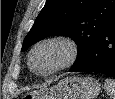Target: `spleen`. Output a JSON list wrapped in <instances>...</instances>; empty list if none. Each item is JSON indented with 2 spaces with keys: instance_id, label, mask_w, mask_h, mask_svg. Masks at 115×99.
<instances>
[{
  "instance_id": "obj_1",
  "label": "spleen",
  "mask_w": 115,
  "mask_h": 99,
  "mask_svg": "<svg viewBox=\"0 0 115 99\" xmlns=\"http://www.w3.org/2000/svg\"><path fill=\"white\" fill-rule=\"evenodd\" d=\"M104 88L106 93L112 98L115 99V80L107 78L104 83Z\"/></svg>"
}]
</instances>
